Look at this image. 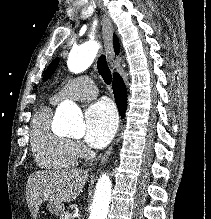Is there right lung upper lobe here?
<instances>
[{
    "label": "right lung upper lobe",
    "mask_w": 211,
    "mask_h": 219,
    "mask_svg": "<svg viewBox=\"0 0 211 219\" xmlns=\"http://www.w3.org/2000/svg\"><path fill=\"white\" fill-rule=\"evenodd\" d=\"M113 44H114L115 52L118 54L120 50V45H119L118 38L115 34L113 35Z\"/></svg>",
    "instance_id": "right-lung-upper-lobe-1"
}]
</instances>
